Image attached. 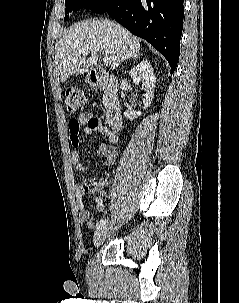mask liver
<instances>
[{"mask_svg": "<svg viewBox=\"0 0 239 303\" xmlns=\"http://www.w3.org/2000/svg\"><path fill=\"white\" fill-rule=\"evenodd\" d=\"M141 40L109 20H88L71 27L59 40L56 61L60 81L94 68L98 52L111 58V69L140 54ZM83 51H88L84 55ZM90 54L89 57H87Z\"/></svg>", "mask_w": 239, "mask_h": 303, "instance_id": "6515ba94", "label": "liver"}]
</instances>
